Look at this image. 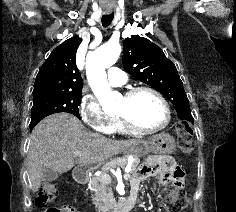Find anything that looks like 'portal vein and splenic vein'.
Instances as JSON below:
<instances>
[{
  "label": "portal vein and splenic vein",
  "mask_w": 236,
  "mask_h": 212,
  "mask_svg": "<svg viewBox=\"0 0 236 212\" xmlns=\"http://www.w3.org/2000/svg\"><path fill=\"white\" fill-rule=\"evenodd\" d=\"M74 155L75 156H81V152H79V151H75L74 152ZM124 179H128L129 178V170L128 169H125V174H124ZM102 179L104 180V181H111V177L109 176V175H103L102 176Z\"/></svg>",
  "instance_id": "obj_1"
}]
</instances>
